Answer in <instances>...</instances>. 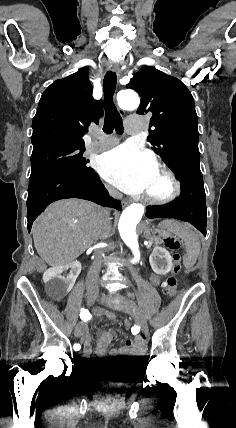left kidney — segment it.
<instances>
[{
    "label": "left kidney",
    "mask_w": 236,
    "mask_h": 428,
    "mask_svg": "<svg viewBox=\"0 0 236 428\" xmlns=\"http://www.w3.org/2000/svg\"><path fill=\"white\" fill-rule=\"evenodd\" d=\"M149 262L153 272L159 274V276H165L172 270V258L169 252L165 248H160V246L154 248Z\"/></svg>",
    "instance_id": "1"
}]
</instances>
